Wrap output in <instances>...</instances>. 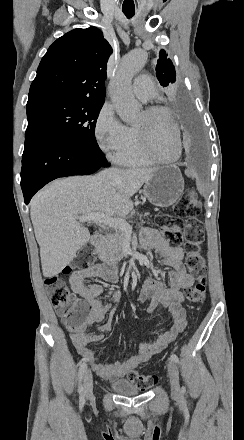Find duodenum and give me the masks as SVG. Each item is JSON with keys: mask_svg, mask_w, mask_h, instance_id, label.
Listing matches in <instances>:
<instances>
[{"mask_svg": "<svg viewBox=\"0 0 244 440\" xmlns=\"http://www.w3.org/2000/svg\"><path fill=\"white\" fill-rule=\"evenodd\" d=\"M104 238L102 235H94L92 238V244L93 246H95L96 248L101 249L104 246Z\"/></svg>", "mask_w": 244, "mask_h": 440, "instance_id": "1", "label": "duodenum"}]
</instances>
